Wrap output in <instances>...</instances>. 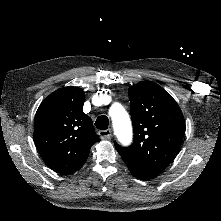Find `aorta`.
I'll return each mask as SVG.
<instances>
[{
	"instance_id": "762f6f07",
	"label": "aorta",
	"mask_w": 221,
	"mask_h": 221,
	"mask_svg": "<svg viewBox=\"0 0 221 221\" xmlns=\"http://www.w3.org/2000/svg\"><path fill=\"white\" fill-rule=\"evenodd\" d=\"M110 116L115 134L123 143L128 144L132 138V126L127 111L121 104L116 103L110 108Z\"/></svg>"
}]
</instances>
